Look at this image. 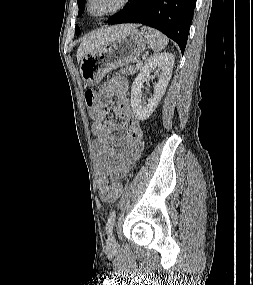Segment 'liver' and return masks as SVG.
I'll list each match as a JSON object with an SVG mask.
<instances>
[{"label":"liver","mask_w":253,"mask_h":285,"mask_svg":"<svg viewBox=\"0 0 253 285\" xmlns=\"http://www.w3.org/2000/svg\"><path fill=\"white\" fill-rule=\"evenodd\" d=\"M133 24L119 25L115 27L101 28L88 34L77 50V61L80 62L84 55L108 44L117 36L135 29Z\"/></svg>","instance_id":"obj_1"}]
</instances>
